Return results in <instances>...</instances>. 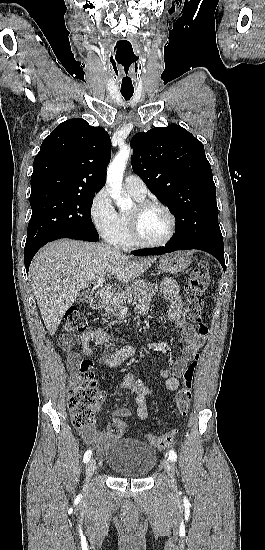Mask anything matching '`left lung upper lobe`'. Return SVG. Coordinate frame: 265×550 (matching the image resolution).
Returning <instances> with one entry per match:
<instances>
[{
    "label": "left lung upper lobe",
    "mask_w": 265,
    "mask_h": 550,
    "mask_svg": "<svg viewBox=\"0 0 265 550\" xmlns=\"http://www.w3.org/2000/svg\"><path fill=\"white\" fill-rule=\"evenodd\" d=\"M133 171L176 219L169 243L224 251L216 187L203 144L177 124L137 133Z\"/></svg>",
    "instance_id": "obj_1"
}]
</instances>
